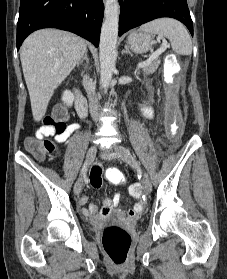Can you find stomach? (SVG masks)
<instances>
[{"label": "stomach", "instance_id": "1", "mask_svg": "<svg viewBox=\"0 0 227 279\" xmlns=\"http://www.w3.org/2000/svg\"><path fill=\"white\" fill-rule=\"evenodd\" d=\"M128 46L134 53H146L152 45L151 35L147 33L133 32L128 36Z\"/></svg>", "mask_w": 227, "mask_h": 279}]
</instances>
